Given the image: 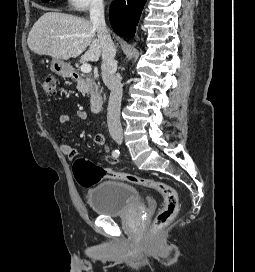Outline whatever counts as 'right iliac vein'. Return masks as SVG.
<instances>
[{"instance_id": "1", "label": "right iliac vein", "mask_w": 255, "mask_h": 272, "mask_svg": "<svg viewBox=\"0 0 255 272\" xmlns=\"http://www.w3.org/2000/svg\"><path fill=\"white\" fill-rule=\"evenodd\" d=\"M113 139L117 142V143H122V141H123V135H121V134H115L114 136H113Z\"/></svg>"}]
</instances>
